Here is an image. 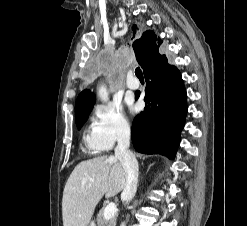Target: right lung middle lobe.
<instances>
[{
    "mask_svg": "<svg viewBox=\"0 0 247 226\" xmlns=\"http://www.w3.org/2000/svg\"><path fill=\"white\" fill-rule=\"evenodd\" d=\"M93 104L94 102L90 105V109L88 111H86L84 114L76 117V124H77V127L78 129L85 123V121L87 120L88 118V115L89 113L91 112L92 110V107H93Z\"/></svg>",
    "mask_w": 247,
    "mask_h": 226,
    "instance_id": "obj_1",
    "label": "right lung middle lobe"
}]
</instances>
